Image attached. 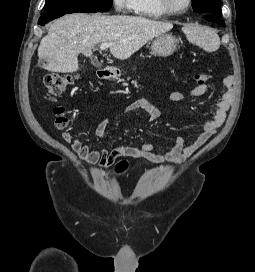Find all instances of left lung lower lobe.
<instances>
[{"mask_svg":"<svg viewBox=\"0 0 255 272\" xmlns=\"http://www.w3.org/2000/svg\"><path fill=\"white\" fill-rule=\"evenodd\" d=\"M219 17H221V16L214 14V15L207 16L206 19L208 21L220 22L221 20L219 19Z\"/></svg>","mask_w":255,"mask_h":272,"instance_id":"0a47b994","label":"left lung lower lobe"}]
</instances>
